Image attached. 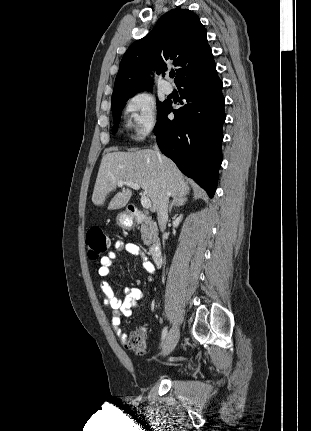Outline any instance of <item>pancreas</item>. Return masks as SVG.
I'll list each match as a JSON object with an SVG mask.
<instances>
[{
    "label": "pancreas",
    "instance_id": "obj_1",
    "mask_svg": "<svg viewBox=\"0 0 311 431\" xmlns=\"http://www.w3.org/2000/svg\"><path fill=\"white\" fill-rule=\"evenodd\" d=\"M140 231L145 245H151L153 241H158L157 225L151 217H147L145 223H142Z\"/></svg>",
    "mask_w": 311,
    "mask_h": 431
}]
</instances>
